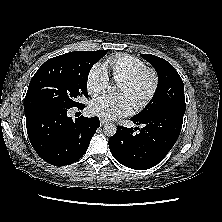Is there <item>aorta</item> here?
I'll use <instances>...</instances> for the list:
<instances>
[{
    "instance_id": "1",
    "label": "aorta",
    "mask_w": 222,
    "mask_h": 222,
    "mask_svg": "<svg viewBox=\"0 0 222 222\" xmlns=\"http://www.w3.org/2000/svg\"><path fill=\"white\" fill-rule=\"evenodd\" d=\"M110 90H111V87H110ZM116 131H117V127L113 123H106L104 125L103 133L106 136L112 137L115 135Z\"/></svg>"
}]
</instances>
